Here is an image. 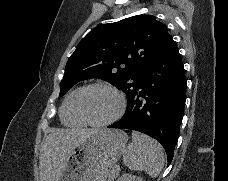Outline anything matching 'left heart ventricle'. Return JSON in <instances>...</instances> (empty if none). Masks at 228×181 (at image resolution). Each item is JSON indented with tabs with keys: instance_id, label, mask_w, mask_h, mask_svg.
Instances as JSON below:
<instances>
[{
	"instance_id": "obj_1",
	"label": "left heart ventricle",
	"mask_w": 228,
	"mask_h": 181,
	"mask_svg": "<svg viewBox=\"0 0 228 181\" xmlns=\"http://www.w3.org/2000/svg\"><path fill=\"white\" fill-rule=\"evenodd\" d=\"M81 106L85 113L91 114L93 121H98L114 111L117 106V98L110 90L94 88L85 95Z\"/></svg>"
}]
</instances>
